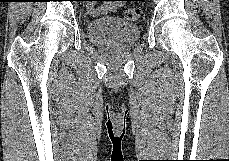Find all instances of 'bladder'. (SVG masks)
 Wrapping results in <instances>:
<instances>
[{"mask_svg": "<svg viewBox=\"0 0 229 161\" xmlns=\"http://www.w3.org/2000/svg\"><path fill=\"white\" fill-rule=\"evenodd\" d=\"M87 33L99 45H130L139 38L140 30L136 24L120 17L104 16L90 21Z\"/></svg>", "mask_w": 229, "mask_h": 161, "instance_id": "obj_1", "label": "bladder"}]
</instances>
